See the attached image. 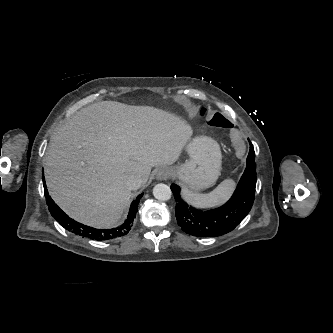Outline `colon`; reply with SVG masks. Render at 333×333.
<instances>
[{"label": "colon", "instance_id": "colon-1", "mask_svg": "<svg viewBox=\"0 0 333 333\" xmlns=\"http://www.w3.org/2000/svg\"><path fill=\"white\" fill-rule=\"evenodd\" d=\"M199 114L201 117H205L207 119L210 126L230 129V135L236 133L232 130V124L230 121L222 114L209 111L206 108L201 109Z\"/></svg>", "mask_w": 333, "mask_h": 333}]
</instances>
